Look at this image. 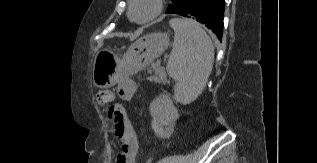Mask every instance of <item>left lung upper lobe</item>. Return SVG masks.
<instances>
[{"mask_svg":"<svg viewBox=\"0 0 317 163\" xmlns=\"http://www.w3.org/2000/svg\"><path fill=\"white\" fill-rule=\"evenodd\" d=\"M180 1H181V0H172V4L169 5V7H168L166 13L169 14V13H171L172 11H174V10L177 8V6H178V4H179Z\"/></svg>","mask_w":317,"mask_h":163,"instance_id":"obj_1","label":"left lung upper lobe"}]
</instances>
